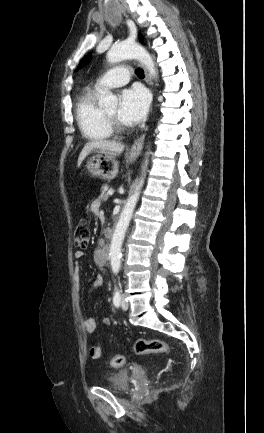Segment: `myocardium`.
Segmentation results:
<instances>
[{
	"label": "myocardium",
	"instance_id": "myocardium-1",
	"mask_svg": "<svg viewBox=\"0 0 264 433\" xmlns=\"http://www.w3.org/2000/svg\"><path fill=\"white\" fill-rule=\"evenodd\" d=\"M104 114L106 116V119L112 129H114L116 132L121 133L124 132L126 129L125 127L116 119L115 116L110 115L107 111L104 110Z\"/></svg>",
	"mask_w": 264,
	"mask_h": 433
}]
</instances>
